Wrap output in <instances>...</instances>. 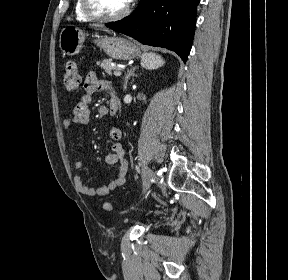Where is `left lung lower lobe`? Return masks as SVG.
Listing matches in <instances>:
<instances>
[{"label":"left lung lower lobe","mask_w":288,"mask_h":280,"mask_svg":"<svg viewBox=\"0 0 288 280\" xmlns=\"http://www.w3.org/2000/svg\"><path fill=\"white\" fill-rule=\"evenodd\" d=\"M200 0H141L131 15L107 23L139 42L176 52L186 62L191 50Z\"/></svg>","instance_id":"0a47b994"}]
</instances>
